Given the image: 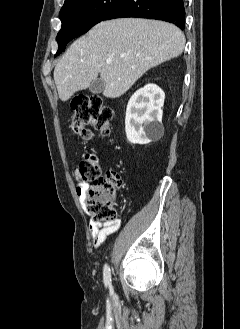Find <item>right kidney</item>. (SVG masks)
Wrapping results in <instances>:
<instances>
[{
	"label": "right kidney",
	"mask_w": 240,
	"mask_h": 329,
	"mask_svg": "<svg viewBox=\"0 0 240 329\" xmlns=\"http://www.w3.org/2000/svg\"><path fill=\"white\" fill-rule=\"evenodd\" d=\"M164 99V92L155 84H147L132 95L125 117L126 136L131 144H148L163 135Z\"/></svg>",
	"instance_id": "right-kidney-1"
}]
</instances>
